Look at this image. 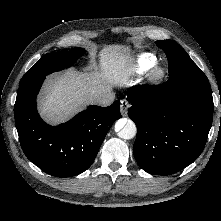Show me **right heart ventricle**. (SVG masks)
I'll return each instance as SVG.
<instances>
[{
    "mask_svg": "<svg viewBox=\"0 0 221 221\" xmlns=\"http://www.w3.org/2000/svg\"><path fill=\"white\" fill-rule=\"evenodd\" d=\"M157 63V58L150 53H142L137 56L131 71L135 74H142L150 70Z\"/></svg>",
    "mask_w": 221,
    "mask_h": 221,
    "instance_id": "obj_1",
    "label": "right heart ventricle"
}]
</instances>
